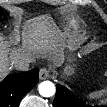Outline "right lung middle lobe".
<instances>
[{
  "label": "right lung middle lobe",
  "instance_id": "obj_1",
  "mask_svg": "<svg viewBox=\"0 0 107 107\" xmlns=\"http://www.w3.org/2000/svg\"><path fill=\"white\" fill-rule=\"evenodd\" d=\"M3 14V11L2 10H0V15H2Z\"/></svg>",
  "mask_w": 107,
  "mask_h": 107
}]
</instances>
